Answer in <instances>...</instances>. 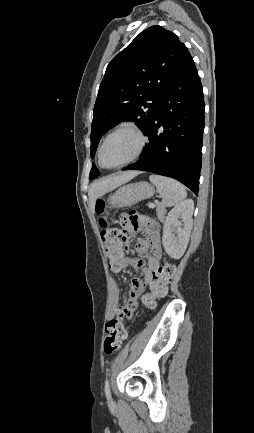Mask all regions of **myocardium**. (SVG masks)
Wrapping results in <instances>:
<instances>
[{"label":"myocardium","instance_id":"1","mask_svg":"<svg viewBox=\"0 0 254 433\" xmlns=\"http://www.w3.org/2000/svg\"><path fill=\"white\" fill-rule=\"evenodd\" d=\"M123 130L131 131V132H133L139 138V146H138L136 152L129 159H127L126 161H124V162H122V163H120L118 165H115V166H106V165H104L103 162H102V150H103V147H104L106 141L112 135H114V134H116V133H118L120 131H123ZM147 143H148L147 136L145 135V133L141 130V128L137 124H135L133 122L122 123L121 125H119L115 129H113L111 132H109L104 137V139L102 140V142H101V144L99 146V149H98V163L100 164L101 167H103L105 169H117V168L124 167V166H126V165H128V164H130V163H132L134 161H136L142 155V153L144 152V150H145V148L147 146Z\"/></svg>","mask_w":254,"mask_h":433}]
</instances>
